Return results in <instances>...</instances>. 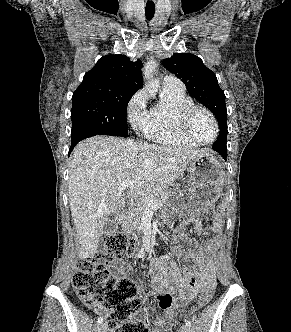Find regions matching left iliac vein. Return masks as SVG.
<instances>
[{
    "label": "left iliac vein",
    "instance_id": "left-iliac-vein-1",
    "mask_svg": "<svg viewBox=\"0 0 291 332\" xmlns=\"http://www.w3.org/2000/svg\"><path fill=\"white\" fill-rule=\"evenodd\" d=\"M180 332H191L190 327L183 325L180 329Z\"/></svg>",
    "mask_w": 291,
    "mask_h": 332
}]
</instances>
